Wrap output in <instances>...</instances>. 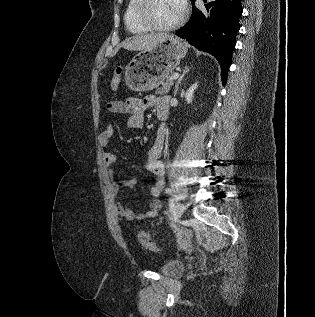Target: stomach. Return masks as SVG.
Instances as JSON below:
<instances>
[{
	"label": "stomach",
	"mask_w": 315,
	"mask_h": 317,
	"mask_svg": "<svg viewBox=\"0 0 315 317\" xmlns=\"http://www.w3.org/2000/svg\"><path fill=\"white\" fill-rule=\"evenodd\" d=\"M186 46L172 35H167L150 50L137 53L125 70L127 87L136 92L149 91L164 82L185 57Z\"/></svg>",
	"instance_id": "0dacf381"
}]
</instances>
